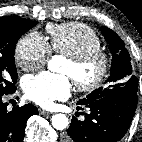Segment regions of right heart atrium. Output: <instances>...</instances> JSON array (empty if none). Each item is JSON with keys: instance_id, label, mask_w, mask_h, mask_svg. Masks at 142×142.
Listing matches in <instances>:
<instances>
[{"instance_id": "1", "label": "right heart atrium", "mask_w": 142, "mask_h": 142, "mask_svg": "<svg viewBox=\"0 0 142 142\" xmlns=\"http://www.w3.org/2000/svg\"><path fill=\"white\" fill-rule=\"evenodd\" d=\"M14 55L22 70L33 71L46 63L50 55V47L40 33L32 31L19 39Z\"/></svg>"}]
</instances>
